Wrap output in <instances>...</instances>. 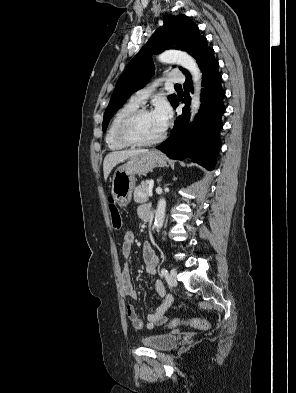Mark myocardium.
<instances>
[{"mask_svg":"<svg viewBox=\"0 0 296 393\" xmlns=\"http://www.w3.org/2000/svg\"><path fill=\"white\" fill-rule=\"evenodd\" d=\"M151 110L148 108H137L134 111H132L131 113H129L120 123L119 128H118V138L119 140L125 144L126 146H130V147H145V146H151L154 145L158 142H160L164 136H165V132L162 131V133L151 139L148 141H140L137 140L135 138H133L132 136V128L134 126V124L136 123V121L144 114L146 113H150Z\"/></svg>","mask_w":296,"mask_h":393,"instance_id":"myocardium-1","label":"myocardium"}]
</instances>
